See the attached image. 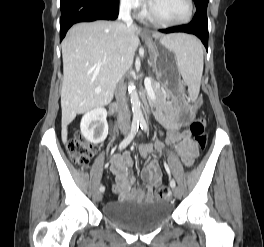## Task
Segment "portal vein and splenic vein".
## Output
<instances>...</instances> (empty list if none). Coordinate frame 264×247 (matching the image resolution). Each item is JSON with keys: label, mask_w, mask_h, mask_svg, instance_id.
<instances>
[{"label": "portal vein and splenic vein", "mask_w": 264, "mask_h": 247, "mask_svg": "<svg viewBox=\"0 0 264 247\" xmlns=\"http://www.w3.org/2000/svg\"><path fill=\"white\" fill-rule=\"evenodd\" d=\"M150 81H151L150 78H146V79H145V82L150 83ZM96 92L99 93V91H96Z\"/></svg>", "instance_id": "portal-vein-and-splenic-vein-1"}]
</instances>
